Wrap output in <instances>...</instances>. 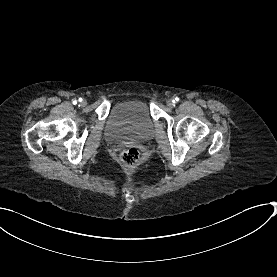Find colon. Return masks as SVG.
<instances>
[{
	"label": "colon",
	"mask_w": 277,
	"mask_h": 277,
	"mask_svg": "<svg viewBox=\"0 0 277 277\" xmlns=\"http://www.w3.org/2000/svg\"><path fill=\"white\" fill-rule=\"evenodd\" d=\"M117 162L123 165L132 176L138 177L144 173V164L140 161V149L135 144H128L116 156Z\"/></svg>",
	"instance_id": "5ec220e1"
}]
</instances>
